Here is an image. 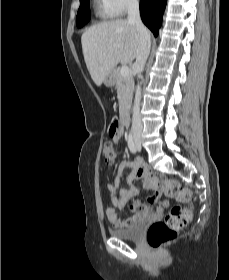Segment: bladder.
<instances>
[{"label": "bladder", "mask_w": 229, "mask_h": 280, "mask_svg": "<svg viewBox=\"0 0 229 280\" xmlns=\"http://www.w3.org/2000/svg\"><path fill=\"white\" fill-rule=\"evenodd\" d=\"M145 227V221L139 220L128 228L114 229L111 231L112 236L120 240H134L141 236Z\"/></svg>", "instance_id": "31cf9c89"}]
</instances>
